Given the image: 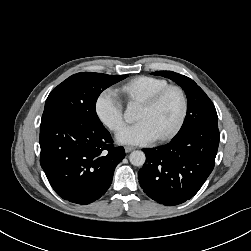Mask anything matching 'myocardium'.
Here are the masks:
<instances>
[{
    "label": "myocardium",
    "mask_w": 251,
    "mask_h": 251,
    "mask_svg": "<svg viewBox=\"0 0 251 251\" xmlns=\"http://www.w3.org/2000/svg\"><path fill=\"white\" fill-rule=\"evenodd\" d=\"M169 92L177 93L180 99V111L174 124L163 134L157 137L158 141H166L172 138L178 130L181 128L188 108V101L185 91L178 85H167L164 88L158 90L156 93L141 102V105L147 108L155 107Z\"/></svg>",
    "instance_id": "1"
}]
</instances>
